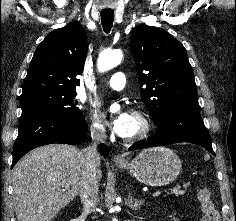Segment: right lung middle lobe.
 Returning <instances> with one entry per match:
<instances>
[{
    "instance_id": "obj_1",
    "label": "right lung middle lobe",
    "mask_w": 236,
    "mask_h": 221,
    "mask_svg": "<svg viewBox=\"0 0 236 221\" xmlns=\"http://www.w3.org/2000/svg\"><path fill=\"white\" fill-rule=\"evenodd\" d=\"M75 96L76 91L56 89H39L22 94L20 98L22 115L40 110L82 114L81 110L76 107L78 102L74 100Z\"/></svg>"
}]
</instances>
